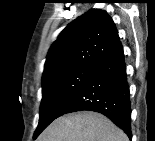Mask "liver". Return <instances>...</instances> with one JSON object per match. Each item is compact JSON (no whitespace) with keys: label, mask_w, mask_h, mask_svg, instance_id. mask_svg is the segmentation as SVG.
I'll return each mask as SVG.
<instances>
[{"label":"liver","mask_w":155,"mask_h":141,"mask_svg":"<svg viewBox=\"0 0 155 141\" xmlns=\"http://www.w3.org/2000/svg\"><path fill=\"white\" fill-rule=\"evenodd\" d=\"M40 141H128L126 134L105 116L83 111L53 121Z\"/></svg>","instance_id":"6515ba94"}]
</instances>
